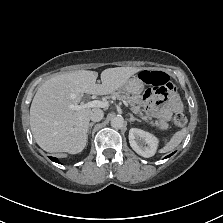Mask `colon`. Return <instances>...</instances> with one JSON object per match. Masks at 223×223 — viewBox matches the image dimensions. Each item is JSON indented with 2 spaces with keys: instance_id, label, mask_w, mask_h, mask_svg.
<instances>
[{
  "instance_id": "5ec220e1",
  "label": "colon",
  "mask_w": 223,
  "mask_h": 223,
  "mask_svg": "<svg viewBox=\"0 0 223 223\" xmlns=\"http://www.w3.org/2000/svg\"><path fill=\"white\" fill-rule=\"evenodd\" d=\"M139 78L146 84L173 87L169 76L160 71H143L139 74ZM186 122V116L182 112H177L173 118V123L178 128L184 127Z\"/></svg>"
}]
</instances>
